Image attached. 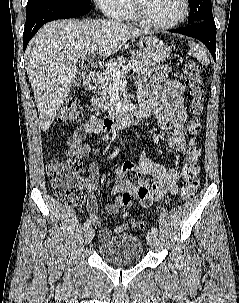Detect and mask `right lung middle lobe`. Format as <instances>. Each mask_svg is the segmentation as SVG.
Returning a JSON list of instances; mask_svg holds the SVG:
<instances>
[{
	"instance_id": "dd1d6c3e",
	"label": "right lung middle lobe",
	"mask_w": 239,
	"mask_h": 303,
	"mask_svg": "<svg viewBox=\"0 0 239 303\" xmlns=\"http://www.w3.org/2000/svg\"><path fill=\"white\" fill-rule=\"evenodd\" d=\"M91 0H28L26 10H30L34 7L48 4H62V5H73V4H90Z\"/></svg>"
}]
</instances>
